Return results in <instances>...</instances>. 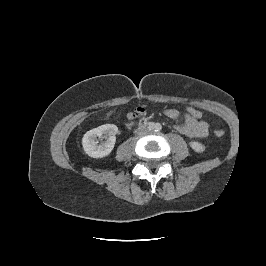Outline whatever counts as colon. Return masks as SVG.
I'll list each match as a JSON object with an SVG mask.
<instances>
[{
    "label": "colon",
    "mask_w": 266,
    "mask_h": 266,
    "mask_svg": "<svg viewBox=\"0 0 266 266\" xmlns=\"http://www.w3.org/2000/svg\"><path fill=\"white\" fill-rule=\"evenodd\" d=\"M186 114L190 115L194 119L201 120L203 118V112L199 110L197 107L189 106L186 108ZM215 135L217 137H222L224 135V131L219 129L215 131Z\"/></svg>",
    "instance_id": "obj_1"
}]
</instances>
